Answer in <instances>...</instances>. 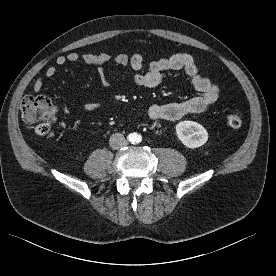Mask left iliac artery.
<instances>
[{
	"mask_svg": "<svg viewBox=\"0 0 276 276\" xmlns=\"http://www.w3.org/2000/svg\"><path fill=\"white\" fill-rule=\"evenodd\" d=\"M142 141V137H141V135H137L136 136V142H141Z\"/></svg>",
	"mask_w": 276,
	"mask_h": 276,
	"instance_id": "1",
	"label": "left iliac artery"
}]
</instances>
